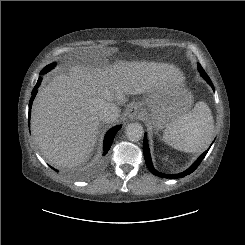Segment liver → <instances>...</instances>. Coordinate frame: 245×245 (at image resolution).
<instances>
[{"mask_svg":"<svg viewBox=\"0 0 245 245\" xmlns=\"http://www.w3.org/2000/svg\"><path fill=\"white\" fill-rule=\"evenodd\" d=\"M166 80H182L174 65L124 62L75 64L68 75L55 76L33 103L31 128L41 155L57 167H74L91 154L97 141L101 100L123 105L125 94L150 92Z\"/></svg>","mask_w":245,"mask_h":245,"instance_id":"obj_1","label":"liver"}]
</instances>
